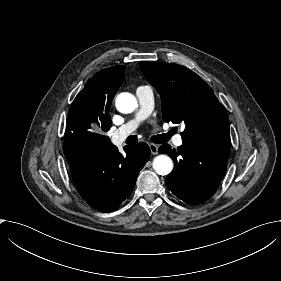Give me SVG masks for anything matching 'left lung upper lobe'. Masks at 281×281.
I'll use <instances>...</instances> for the list:
<instances>
[{"label":"left lung upper lobe","mask_w":281,"mask_h":281,"mask_svg":"<svg viewBox=\"0 0 281 281\" xmlns=\"http://www.w3.org/2000/svg\"><path fill=\"white\" fill-rule=\"evenodd\" d=\"M139 66L160 93L164 121L185 124L183 143L230 144L226 110L196 73L171 63L139 62Z\"/></svg>","instance_id":"5c2ea615"}]
</instances>
